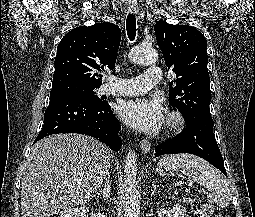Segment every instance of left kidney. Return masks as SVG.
I'll use <instances>...</instances> for the list:
<instances>
[{"instance_id": "left-kidney-1", "label": "left kidney", "mask_w": 255, "mask_h": 217, "mask_svg": "<svg viewBox=\"0 0 255 217\" xmlns=\"http://www.w3.org/2000/svg\"><path fill=\"white\" fill-rule=\"evenodd\" d=\"M189 217L186 215V209L179 203H176L172 209L161 207L158 210V217Z\"/></svg>"}]
</instances>
